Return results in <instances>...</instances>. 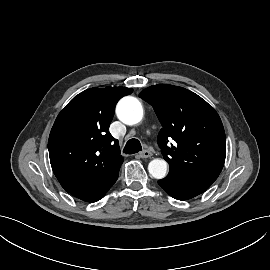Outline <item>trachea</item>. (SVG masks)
Instances as JSON below:
<instances>
[{
    "label": "trachea",
    "mask_w": 270,
    "mask_h": 270,
    "mask_svg": "<svg viewBox=\"0 0 270 270\" xmlns=\"http://www.w3.org/2000/svg\"><path fill=\"white\" fill-rule=\"evenodd\" d=\"M139 151H142L141 143L138 139H134V138L128 140L123 149V152L126 154H134Z\"/></svg>",
    "instance_id": "1"
}]
</instances>
